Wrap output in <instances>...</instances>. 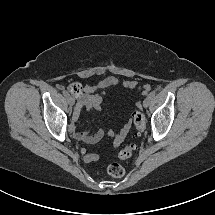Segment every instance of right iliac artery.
<instances>
[{
    "mask_svg": "<svg viewBox=\"0 0 215 215\" xmlns=\"http://www.w3.org/2000/svg\"><path fill=\"white\" fill-rule=\"evenodd\" d=\"M63 95H64L65 97H69V93H68L67 91H63ZM76 108H77V106H76Z\"/></svg>",
    "mask_w": 215,
    "mask_h": 215,
    "instance_id": "right-iliac-artery-1",
    "label": "right iliac artery"
}]
</instances>
